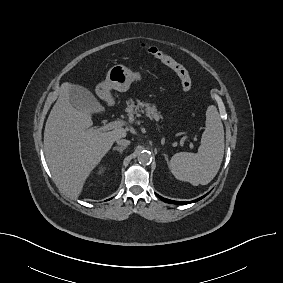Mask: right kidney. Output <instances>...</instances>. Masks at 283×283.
<instances>
[{
  "instance_id": "right-kidney-1",
  "label": "right kidney",
  "mask_w": 283,
  "mask_h": 283,
  "mask_svg": "<svg viewBox=\"0 0 283 283\" xmlns=\"http://www.w3.org/2000/svg\"><path fill=\"white\" fill-rule=\"evenodd\" d=\"M107 169L106 166H101L98 170V174H102Z\"/></svg>"
}]
</instances>
